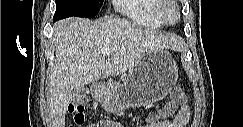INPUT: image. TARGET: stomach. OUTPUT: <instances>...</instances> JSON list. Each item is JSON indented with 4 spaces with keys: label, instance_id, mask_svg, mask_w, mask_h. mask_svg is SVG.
Wrapping results in <instances>:
<instances>
[{
    "label": "stomach",
    "instance_id": "stomach-1",
    "mask_svg": "<svg viewBox=\"0 0 243 127\" xmlns=\"http://www.w3.org/2000/svg\"><path fill=\"white\" fill-rule=\"evenodd\" d=\"M177 64L166 49L143 56L120 82L95 84L94 93L103 108L120 113L126 108L145 106L163 99L176 84Z\"/></svg>",
    "mask_w": 243,
    "mask_h": 127
}]
</instances>
